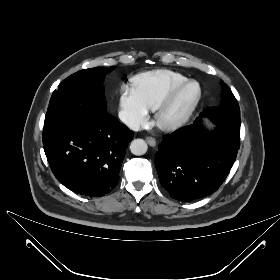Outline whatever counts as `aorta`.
Here are the masks:
<instances>
[{"label": "aorta", "instance_id": "obj_1", "mask_svg": "<svg viewBox=\"0 0 280 280\" xmlns=\"http://www.w3.org/2000/svg\"><path fill=\"white\" fill-rule=\"evenodd\" d=\"M148 145L143 139H135L131 142L130 150L131 153L140 156L147 152Z\"/></svg>", "mask_w": 280, "mask_h": 280}]
</instances>
